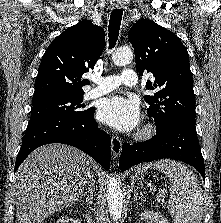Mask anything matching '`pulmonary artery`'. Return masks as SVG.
Instances as JSON below:
<instances>
[{"mask_svg":"<svg viewBox=\"0 0 221 223\" xmlns=\"http://www.w3.org/2000/svg\"><path fill=\"white\" fill-rule=\"evenodd\" d=\"M92 81L97 84L89 93L88 97H98L116 89L121 83L126 86H135L138 82L137 73L134 69L127 68L119 75L94 76Z\"/></svg>","mask_w":221,"mask_h":223,"instance_id":"obj_1","label":"pulmonary artery"}]
</instances>
